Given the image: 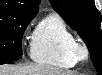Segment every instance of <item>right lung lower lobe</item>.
<instances>
[{
    "instance_id": "98d812e1",
    "label": "right lung lower lobe",
    "mask_w": 102,
    "mask_h": 75,
    "mask_svg": "<svg viewBox=\"0 0 102 75\" xmlns=\"http://www.w3.org/2000/svg\"><path fill=\"white\" fill-rule=\"evenodd\" d=\"M6 63L12 64L13 61H11V60H4V61H1V62H0V64H6Z\"/></svg>"
}]
</instances>
